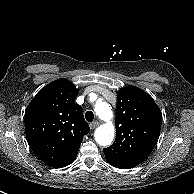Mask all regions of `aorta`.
<instances>
[{
    "label": "aorta",
    "instance_id": "1",
    "mask_svg": "<svg viewBox=\"0 0 194 194\" xmlns=\"http://www.w3.org/2000/svg\"><path fill=\"white\" fill-rule=\"evenodd\" d=\"M95 112L101 120L106 121L95 131V140L101 146H109L114 138L115 128L111 122L113 113L111 107L106 102H98L95 105Z\"/></svg>",
    "mask_w": 194,
    "mask_h": 194
}]
</instances>
